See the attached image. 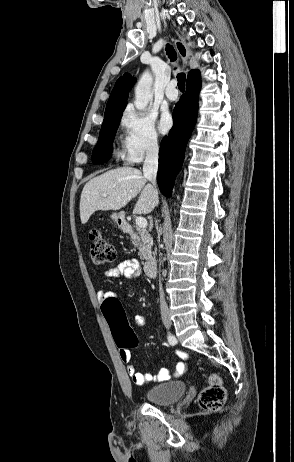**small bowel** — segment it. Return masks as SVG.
<instances>
[{
    "label": "small bowel",
    "mask_w": 294,
    "mask_h": 462,
    "mask_svg": "<svg viewBox=\"0 0 294 462\" xmlns=\"http://www.w3.org/2000/svg\"><path fill=\"white\" fill-rule=\"evenodd\" d=\"M139 274L140 269L138 261L136 259H126L119 263L115 268L109 269L104 272V275L108 278H135L139 276ZM110 295H112V293L104 289H101L97 292V297L100 300H104L106 297ZM134 324L137 327L144 326L147 324V319L144 315H137L134 318ZM119 355L122 362L126 365L127 374L132 378V381L136 385H142L144 383L151 381H165L169 380L172 377L177 378L184 375L187 371V354L183 351H177V355L181 359V361L177 363L175 371L173 373L163 368L155 376L150 373L138 372L135 366L131 363V353L128 349L119 348Z\"/></svg>",
    "instance_id": "c3829d8e"
}]
</instances>
